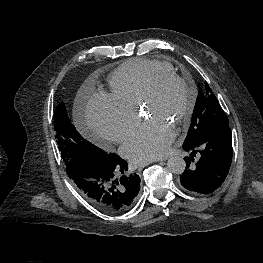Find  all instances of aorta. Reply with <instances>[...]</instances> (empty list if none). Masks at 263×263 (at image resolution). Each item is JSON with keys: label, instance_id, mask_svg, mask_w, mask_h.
Here are the masks:
<instances>
[{"label": "aorta", "instance_id": "762f6f07", "mask_svg": "<svg viewBox=\"0 0 263 263\" xmlns=\"http://www.w3.org/2000/svg\"><path fill=\"white\" fill-rule=\"evenodd\" d=\"M168 171L173 174H182L186 168V162L179 156L169 158L167 162Z\"/></svg>", "mask_w": 263, "mask_h": 263}]
</instances>
